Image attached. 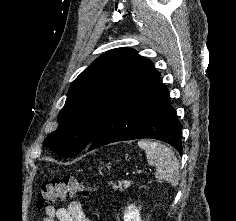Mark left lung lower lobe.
<instances>
[{
	"instance_id": "left-lung-lower-lobe-1",
	"label": "left lung lower lobe",
	"mask_w": 236,
	"mask_h": 221,
	"mask_svg": "<svg viewBox=\"0 0 236 221\" xmlns=\"http://www.w3.org/2000/svg\"><path fill=\"white\" fill-rule=\"evenodd\" d=\"M159 77L160 73L154 70L110 113L89 144V150L117 141L153 138L172 145L182 155V125Z\"/></svg>"
}]
</instances>
